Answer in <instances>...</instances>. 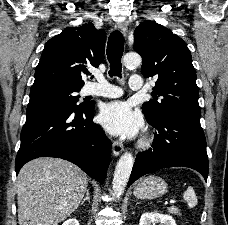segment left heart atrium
Here are the masks:
<instances>
[{
    "instance_id": "left-heart-atrium-1",
    "label": "left heart atrium",
    "mask_w": 228,
    "mask_h": 225,
    "mask_svg": "<svg viewBox=\"0 0 228 225\" xmlns=\"http://www.w3.org/2000/svg\"><path fill=\"white\" fill-rule=\"evenodd\" d=\"M100 122L111 135L127 138L137 136L142 128L140 115L121 101L106 104L100 112Z\"/></svg>"
}]
</instances>
